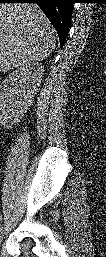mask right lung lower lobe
<instances>
[{
	"label": "right lung lower lobe",
	"instance_id": "obj_1",
	"mask_svg": "<svg viewBox=\"0 0 106 257\" xmlns=\"http://www.w3.org/2000/svg\"><path fill=\"white\" fill-rule=\"evenodd\" d=\"M1 3H37L56 29L62 48L70 27L75 0H0Z\"/></svg>",
	"mask_w": 106,
	"mask_h": 257
}]
</instances>
